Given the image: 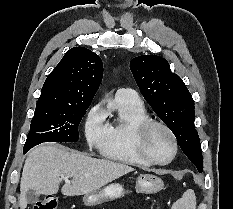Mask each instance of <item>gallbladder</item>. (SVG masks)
Returning a JSON list of instances; mask_svg holds the SVG:
<instances>
[{"instance_id":"bac80fb5","label":"gallbladder","mask_w":233,"mask_h":209,"mask_svg":"<svg viewBox=\"0 0 233 209\" xmlns=\"http://www.w3.org/2000/svg\"><path fill=\"white\" fill-rule=\"evenodd\" d=\"M26 199H27L28 203H30V204H33V203L37 202V200H38L35 192L32 190H29L26 193Z\"/></svg>"}]
</instances>
